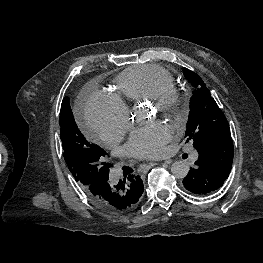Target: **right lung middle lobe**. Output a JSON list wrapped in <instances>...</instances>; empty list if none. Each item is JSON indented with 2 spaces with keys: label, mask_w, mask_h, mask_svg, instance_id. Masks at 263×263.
I'll list each match as a JSON object with an SVG mask.
<instances>
[{
  "label": "right lung middle lobe",
  "mask_w": 263,
  "mask_h": 263,
  "mask_svg": "<svg viewBox=\"0 0 263 263\" xmlns=\"http://www.w3.org/2000/svg\"><path fill=\"white\" fill-rule=\"evenodd\" d=\"M59 125L63 156L79 185L86 188L90 184L107 180L109 168L112 166L107 159V153L80 132L68 97H65L61 104Z\"/></svg>",
  "instance_id": "right-lung-middle-lobe-1"
}]
</instances>
